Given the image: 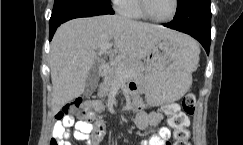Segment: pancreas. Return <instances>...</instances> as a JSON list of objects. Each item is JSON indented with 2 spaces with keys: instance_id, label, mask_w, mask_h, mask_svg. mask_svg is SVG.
Listing matches in <instances>:
<instances>
[{
  "instance_id": "obj_1",
  "label": "pancreas",
  "mask_w": 243,
  "mask_h": 145,
  "mask_svg": "<svg viewBox=\"0 0 243 145\" xmlns=\"http://www.w3.org/2000/svg\"><path fill=\"white\" fill-rule=\"evenodd\" d=\"M122 75H128L137 80L142 79L144 77L143 64L129 59L110 63L105 70L104 81L100 87L101 95L105 96L114 89L120 82Z\"/></svg>"
}]
</instances>
